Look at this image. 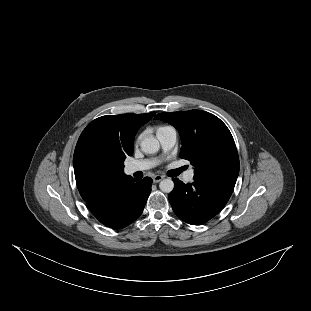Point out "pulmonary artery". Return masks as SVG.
<instances>
[{"mask_svg":"<svg viewBox=\"0 0 311 311\" xmlns=\"http://www.w3.org/2000/svg\"><path fill=\"white\" fill-rule=\"evenodd\" d=\"M157 137L160 141L163 151L167 154L169 153L176 145L177 142V133L174 128L168 127L162 130L157 131ZM155 160H144L138 162H132L126 165L125 170L128 174H133L136 172H142L153 168L156 165ZM194 178V170L190 169L183 176V181L190 183Z\"/></svg>","mask_w":311,"mask_h":311,"instance_id":"1","label":"pulmonary artery"}]
</instances>
